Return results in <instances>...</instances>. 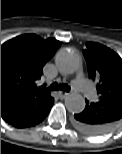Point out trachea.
<instances>
[{
	"mask_svg": "<svg viewBox=\"0 0 122 154\" xmlns=\"http://www.w3.org/2000/svg\"><path fill=\"white\" fill-rule=\"evenodd\" d=\"M63 90L66 92L70 91V86H68L67 84H57V83H53L50 85V87L48 88V90L50 91H57V90Z\"/></svg>",
	"mask_w": 122,
	"mask_h": 154,
	"instance_id": "1",
	"label": "trachea"
}]
</instances>
